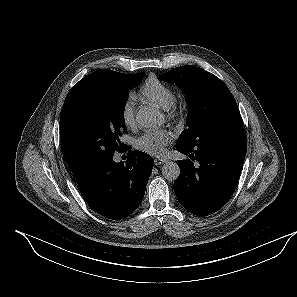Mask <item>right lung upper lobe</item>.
<instances>
[{
  "label": "right lung upper lobe",
  "mask_w": 297,
  "mask_h": 297,
  "mask_svg": "<svg viewBox=\"0 0 297 297\" xmlns=\"http://www.w3.org/2000/svg\"><path fill=\"white\" fill-rule=\"evenodd\" d=\"M119 73L112 71V70H97L86 77H84L82 80H80L73 88L69 91L67 97L72 96L77 91L87 88V87H93V86H103L108 84L113 78H115ZM77 177L80 173H74Z\"/></svg>",
  "instance_id": "right-lung-upper-lobe-1"
}]
</instances>
